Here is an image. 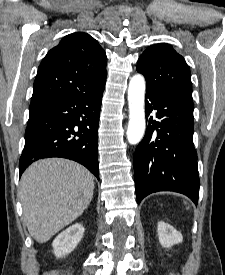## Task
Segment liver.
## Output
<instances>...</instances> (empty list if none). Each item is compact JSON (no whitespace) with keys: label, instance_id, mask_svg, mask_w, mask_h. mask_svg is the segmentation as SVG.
<instances>
[{"label":"liver","instance_id":"6515ba94","mask_svg":"<svg viewBox=\"0 0 225 275\" xmlns=\"http://www.w3.org/2000/svg\"><path fill=\"white\" fill-rule=\"evenodd\" d=\"M94 177L66 159L36 161L23 173L20 198L30 235L45 243L79 217L93 197Z\"/></svg>","mask_w":225,"mask_h":275}]
</instances>
